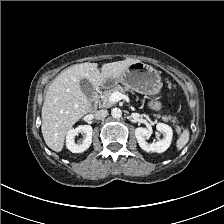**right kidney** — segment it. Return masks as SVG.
<instances>
[{
    "instance_id": "1",
    "label": "right kidney",
    "mask_w": 224,
    "mask_h": 224,
    "mask_svg": "<svg viewBox=\"0 0 224 224\" xmlns=\"http://www.w3.org/2000/svg\"><path fill=\"white\" fill-rule=\"evenodd\" d=\"M92 133L93 129L90 125H80L75 129L69 130L66 136V147L72 153H81L87 150L92 143ZM78 134H83L84 139L82 140V142L76 143L75 137Z\"/></svg>"
}]
</instances>
